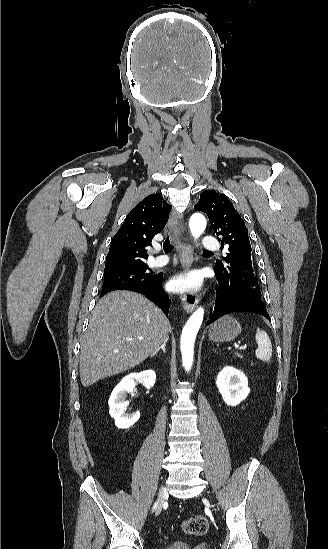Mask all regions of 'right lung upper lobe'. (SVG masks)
I'll return each mask as SVG.
<instances>
[{
	"label": "right lung upper lobe",
	"instance_id": "right-lung-upper-lobe-1",
	"mask_svg": "<svg viewBox=\"0 0 328 549\" xmlns=\"http://www.w3.org/2000/svg\"><path fill=\"white\" fill-rule=\"evenodd\" d=\"M171 206L160 195H149L128 214L111 241L104 272L145 265L146 247L162 231Z\"/></svg>",
	"mask_w": 328,
	"mask_h": 549
}]
</instances>
